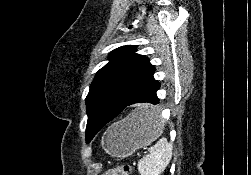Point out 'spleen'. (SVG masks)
<instances>
[{
    "mask_svg": "<svg viewBox=\"0 0 251 175\" xmlns=\"http://www.w3.org/2000/svg\"><path fill=\"white\" fill-rule=\"evenodd\" d=\"M145 115H147L148 119H151L155 113L147 109ZM162 123H164V121H158L157 127H159L160 131H162ZM172 149V143H168L165 137H161L155 145L149 147V153H147L145 157H142V159H139V173H141V175H159V173H162L172 157Z\"/></svg>",
    "mask_w": 251,
    "mask_h": 175,
    "instance_id": "1",
    "label": "spleen"
}]
</instances>
